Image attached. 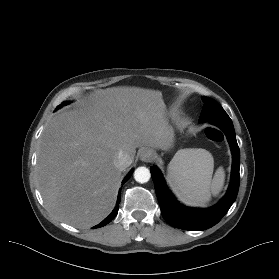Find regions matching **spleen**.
Here are the masks:
<instances>
[{
	"instance_id": "3e777b00",
	"label": "spleen",
	"mask_w": 279,
	"mask_h": 279,
	"mask_svg": "<svg viewBox=\"0 0 279 279\" xmlns=\"http://www.w3.org/2000/svg\"><path fill=\"white\" fill-rule=\"evenodd\" d=\"M214 160L205 149L179 151L168 167V180L176 196L190 206H205L224 185L225 172L219 167L213 178Z\"/></svg>"
}]
</instances>
